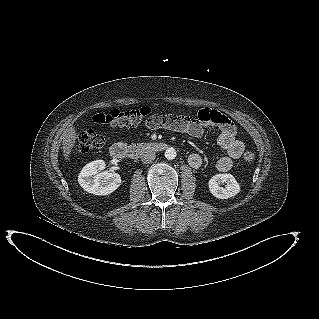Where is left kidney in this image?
<instances>
[{"label":"left kidney","mask_w":319,"mask_h":319,"mask_svg":"<svg viewBox=\"0 0 319 319\" xmlns=\"http://www.w3.org/2000/svg\"><path fill=\"white\" fill-rule=\"evenodd\" d=\"M225 183V187H221ZM208 187L213 196L218 199H228L240 192V186L231 174H216L208 182Z\"/></svg>","instance_id":"left-kidney-1"}]
</instances>
